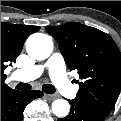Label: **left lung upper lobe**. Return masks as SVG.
Listing matches in <instances>:
<instances>
[{"label": "left lung upper lobe", "mask_w": 121, "mask_h": 121, "mask_svg": "<svg viewBox=\"0 0 121 121\" xmlns=\"http://www.w3.org/2000/svg\"><path fill=\"white\" fill-rule=\"evenodd\" d=\"M59 43L68 67L82 79L76 100L109 115L121 89V55L106 33L80 23L47 27Z\"/></svg>", "instance_id": "left-lung-upper-lobe-1"}]
</instances>
